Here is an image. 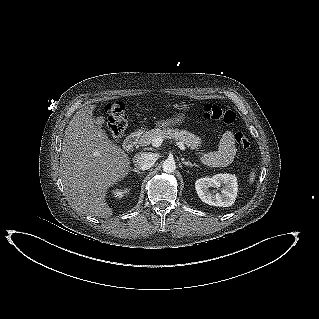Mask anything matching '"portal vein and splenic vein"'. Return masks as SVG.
I'll list each match as a JSON object with an SVG mask.
<instances>
[{
	"mask_svg": "<svg viewBox=\"0 0 319 319\" xmlns=\"http://www.w3.org/2000/svg\"><path fill=\"white\" fill-rule=\"evenodd\" d=\"M162 143H163V139L161 137H156V138L153 139V143L152 144L155 147H159V146H161ZM176 144L181 150H183V151L185 150L184 144H182L181 142H177Z\"/></svg>",
	"mask_w": 319,
	"mask_h": 319,
	"instance_id": "portal-vein-and-splenic-vein-1",
	"label": "portal vein and splenic vein"
}]
</instances>
